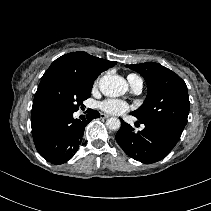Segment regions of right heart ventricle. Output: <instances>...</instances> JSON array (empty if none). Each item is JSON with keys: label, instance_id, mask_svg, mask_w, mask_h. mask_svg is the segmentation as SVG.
<instances>
[{"label": "right heart ventricle", "instance_id": "1", "mask_svg": "<svg viewBox=\"0 0 211 211\" xmlns=\"http://www.w3.org/2000/svg\"><path fill=\"white\" fill-rule=\"evenodd\" d=\"M137 79H140V78H139L138 76L134 75V74H130V75L128 76L129 82L135 81V80H137Z\"/></svg>", "mask_w": 211, "mask_h": 211}]
</instances>
